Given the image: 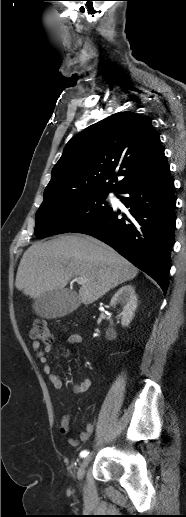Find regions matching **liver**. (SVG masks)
I'll list each match as a JSON object with an SVG mask.
<instances>
[{
    "label": "liver",
    "mask_w": 186,
    "mask_h": 517,
    "mask_svg": "<svg viewBox=\"0 0 186 517\" xmlns=\"http://www.w3.org/2000/svg\"><path fill=\"white\" fill-rule=\"evenodd\" d=\"M137 274V267L112 247L90 236L72 234L30 246L20 261L15 286L37 299L64 290L74 277H84L87 282L78 297L87 305Z\"/></svg>",
    "instance_id": "6515ba94"
}]
</instances>
